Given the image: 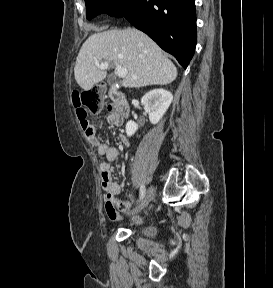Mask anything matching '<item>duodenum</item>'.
Returning <instances> with one entry per match:
<instances>
[{"instance_id": "410a0bca", "label": "duodenum", "mask_w": 273, "mask_h": 288, "mask_svg": "<svg viewBox=\"0 0 273 288\" xmlns=\"http://www.w3.org/2000/svg\"><path fill=\"white\" fill-rule=\"evenodd\" d=\"M108 95L114 103L115 115L123 120L127 118L129 115V104L124 94L117 88H110Z\"/></svg>"}]
</instances>
